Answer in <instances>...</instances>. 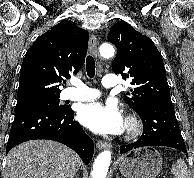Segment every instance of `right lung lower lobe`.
I'll return each instance as SVG.
<instances>
[{
    "label": "right lung lower lobe",
    "mask_w": 194,
    "mask_h": 178,
    "mask_svg": "<svg viewBox=\"0 0 194 178\" xmlns=\"http://www.w3.org/2000/svg\"><path fill=\"white\" fill-rule=\"evenodd\" d=\"M70 107L55 110L48 106L29 105L15 108V118L10 130L6 154L14 146L34 139H50L73 149L88 165L94 146L83 128L73 120Z\"/></svg>",
    "instance_id": "98d812e1"
}]
</instances>
